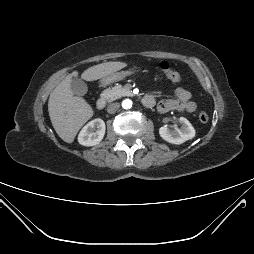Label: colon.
Wrapping results in <instances>:
<instances>
[{
	"instance_id": "obj_1",
	"label": "colon",
	"mask_w": 254,
	"mask_h": 254,
	"mask_svg": "<svg viewBox=\"0 0 254 254\" xmlns=\"http://www.w3.org/2000/svg\"><path fill=\"white\" fill-rule=\"evenodd\" d=\"M159 68H160V70L165 74V76H166L171 82H173V83H179V82H181V79H182V78H181V75H180L177 71L173 70V69L170 67V65H169L168 62H166V61L160 62V63H159ZM198 117H199V120H200L202 123H206V122H208V120H209L208 114H207L206 112H204V111H201V112L199 113Z\"/></svg>"
}]
</instances>
